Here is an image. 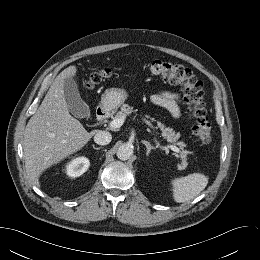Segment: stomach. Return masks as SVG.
Returning <instances> with one entry per match:
<instances>
[{
  "mask_svg": "<svg viewBox=\"0 0 260 260\" xmlns=\"http://www.w3.org/2000/svg\"><path fill=\"white\" fill-rule=\"evenodd\" d=\"M128 97L126 90L121 88H110L105 91L101 102L106 109H116L121 106Z\"/></svg>",
  "mask_w": 260,
  "mask_h": 260,
  "instance_id": "0dacf381",
  "label": "stomach"
}]
</instances>
